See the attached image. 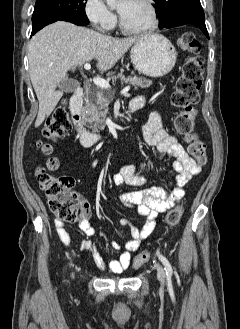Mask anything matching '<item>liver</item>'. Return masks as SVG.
Listing matches in <instances>:
<instances>
[{
	"label": "liver",
	"instance_id": "1",
	"mask_svg": "<svg viewBox=\"0 0 240 329\" xmlns=\"http://www.w3.org/2000/svg\"><path fill=\"white\" fill-rule=\"evenodd\" d=\"M139 37L112 38L68 22H56L39 31L28 47L29 74L39 101L35 127H39L63 96L56 90L67 72L97 61V69L110 70Z\"/></svg>",
	"mask_w": 240,
	"mask_h": 329
}]
</instances>
